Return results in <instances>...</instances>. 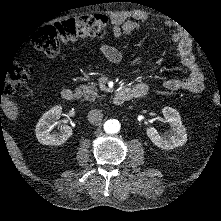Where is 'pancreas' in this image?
Returning <instances> with one entry per match:
<instances>
[{"label":"pancreas","mask_w":221,"mask_h":221,"mask_svg":"<svg viewBox=\"0 0 221 221\" xmlns=\"http://www.w3.org/2000/svg\"><path fill=\"white\" fill-rule=\"evenodd\" d=\"M76 91L78 94L81 95L82 100L94 102L97 97H105V95H98L97 91L93 89V87L90 85L82 84L78 88H76Z\"/></svg>","instance_id":"obj_1"}]
</instances>
